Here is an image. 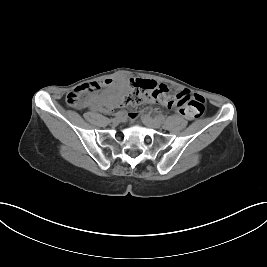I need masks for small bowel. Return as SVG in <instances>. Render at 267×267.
<instances>
[{
    "instance_id": "1",
    "label": "small bowel",
    "mask_w": 267,
    "mask_h": 267,
    "mask_svg": "<svg viewBox=\"0 0 267 267\" xmlns=\"http://www.w3.org/2000/svg\"><path fill=\"white\" fill-rule=\"evenodd\" d=\"M107 85L106 81H102L99 83H94L91 85H86L87 88H99L100 86H105ZM181 92L175 94L173 96L172 103L169 105V108H175L178 110V106L181 105L182 103V98L180 96ZM120 92L113 93L108 96H103V97H91L87 101V106L96 109V110H108L111 106H119V102L116 101V99L119 97ZM134 113H131L130 116H134ZM191 119V118H189Z\"/></svg>"
}]
</instances>
